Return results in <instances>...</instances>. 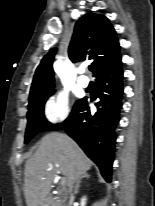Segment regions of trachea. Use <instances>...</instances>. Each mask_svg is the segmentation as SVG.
I'll return each instance as SVG.
<instances>
[{
    "mask_svg": "<svg viewBox=\"0 0 155 206\" xmlns=\"http://www.w3.org/2000/svg\"><path fill=\"white\" fill-rule=\"evenodd\" d=\"M89 70H90V71H92V70H93V67H92V66H90V67H89Z\"/></svg>",
    "mask_w": 155,
    "mask_h": 206,
    "instance_id": "trachea-1",
    "label": "trachea"
}]
</instances>
